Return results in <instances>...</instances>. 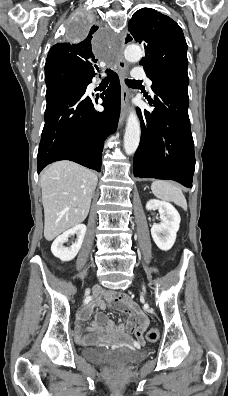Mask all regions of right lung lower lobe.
Here are the masks:
<instances>
[{"mask_svg": "<svg viewBox=\"0 0 228 396\" xmlns=\"http://www.w3.org/2000/svg\"><path fill=\"white\" fill-rule=\"evenodd\" d=\"M110 85L101 94L104 111L94 109L97 99L86 95L93 77H82L79 85L68 88L47 103L45 125L39 145L38 174L48 164L71 160L98 172L105 138L115 132L120 115L118 75L108 72Z\"/></svg>", "mask_w": 228, "mask_h": 396, "instance_id": "98d812e1", "label": "right lung lower lobe"}]
</instances>
